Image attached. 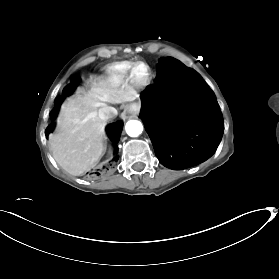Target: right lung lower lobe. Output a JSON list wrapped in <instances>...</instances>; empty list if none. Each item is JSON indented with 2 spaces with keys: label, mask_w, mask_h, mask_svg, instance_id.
Here are the masks:
<instances>
[{
  "label": "right lung lower lobe",
  "mask_w": 279,
  "mask_h": 279,
  "mask_svg": "<svg viewBox=\"0 0 279 279\" xmlns=\"http://www.w3.org/2000/svg\"><path fill=\"white\" fill-rule=\"evenodd\" d=\"M76 88V84H71L67 87L64 88L63 90V95L60 96V97H57L55 99V108L52 110L51 112V118L52 120L55 119L57 113H58V110H59V106L61 105L62 101L64 100V98L70 94H72V92L75 90ZM53 130V125L51 124L47 131H46V134L48 135L50 132H52ZM121 130H122V126L120 124H114L112 125L111 127V138L114 142H117L119 140V137H120V134H121ZM118 156H116L114 159H117Z\"/></svg>",
  "instance_id": "1"
}]
</instances>
